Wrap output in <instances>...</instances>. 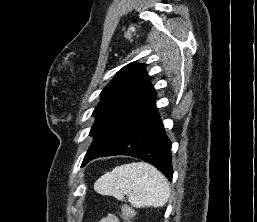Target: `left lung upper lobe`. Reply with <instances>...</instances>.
Returning a JSON list of instances; mask_svg holds the SVG:
<instances>
[{
  "label": "left lung upper lobe",
  "instance_id": "left-lung-upper-lobe-1",
  "mask_svg": "<svg viewBox=\"0 0 257 222\" xmlns=\"http://www.w3.org/2000/svg\"><path fill=\"white\" fill-rule=\"evenodd\" d=\"M145 67V64H128L102 90L101 101L93 111L96 120L90 134L94 140L84 159L97 153L155 101V89Z\"/></svg>",
  "mask_w": 257,
  "mask_h": 222
}]
</instances>
